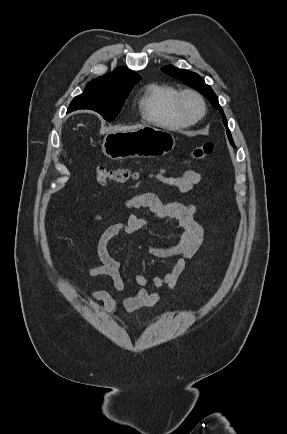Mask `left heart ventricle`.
Returning a JSON list of instances; mask_svg holds the SVG:
<instances>
[{"label": "left heart ventricle", "instance_id": "1", "mask_svg": "<svg viewBox=\"0 0 287 434\" xmlns=\"http://www.w3.org/2000/svg\"><path fill=\"white\" fill-rule=\"evenodd\" d=\"M185 109L186 111L191 114V115H196L199 112V105L197 103V101L193 98H187L185 100Z\"/></svg>", "mask_w": 287, "mask_h": 434}]
</instances>
